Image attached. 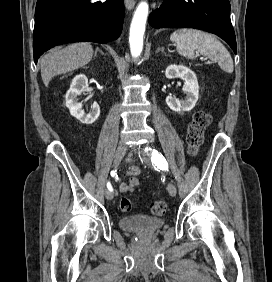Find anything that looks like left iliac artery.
I'll use <instances>...</instances> for the list:
<instances>
[{"label": "left iliac artery", "instance_id": "1", "mask_svg": "<svg viewBox=\"0 0 272 282\" xmlns=\"http://www.w3.org/2000/svg\"><path fill=\"white\" fill-rule=\"evenodd\" d=\"M151 153H152L151 161L154 167L168 171V163L166 159L164 158V156L155 149L151 150Z\"/></svg>", "mask_w": 272, "mask_h": 282}]
</instances>
